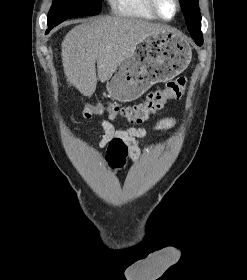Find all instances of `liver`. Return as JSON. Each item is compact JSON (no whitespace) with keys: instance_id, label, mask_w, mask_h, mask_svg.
Segmentation results:
<instances>
[{"instance_id":"liver-1","label":"liver","mask_w":247,"mask_h":280,"mask_svg":"<svg viewBox=\"0 0 247 280\" xmlns=\"http://www.w3.org/2000/svg\"><path fill=\"white\" fill-rule=\"evenodd\" d=\"M170 31L158 23L129 17H100L72 28L62 42L64 73L70 85L91 96L97 77L107 81L136 45L149 35Z\"/></svg>"}]
</instances>
